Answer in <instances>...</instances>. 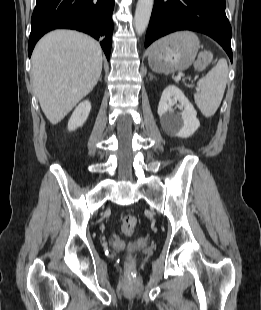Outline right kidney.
I'll list each match as a JSON object with an SVG mask.
<instances>
[{
  "label": "right kidney",
  "instance_id": "ca27d5eb",
  "mask_svg": "<svg viewBox=\"0 0 261 310\" xmlns=\"http://www.w3.org/2000/svg\"><path fill=\"white\" fill-rule=\"evenodd\" d=\"M91 110V103L89 100L81 102L74 112L72 113L68 121V130L73 131L78 127H81L87 120Z\"/></svg>",
  "mask_w": 261,
  "mask_h": 310
}]
</instances>
